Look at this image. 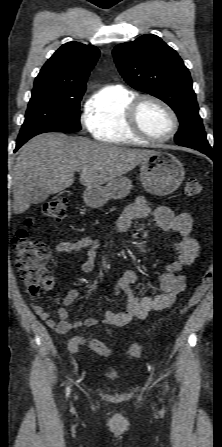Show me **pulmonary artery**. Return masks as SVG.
<instances>
[{
    "mask_svg": "<svg viewBox=\"0 0 222 447\" xmlns=\"http://www.w3.org/2000/svg\"><path fill=\"white\" fill-rule=\"evenodd\" d=\"M110 87H118V86H110Z\"/></svg>",
    "mask_w": 222,
    "mask_h": 447,
    "instance_id": "e3ab8cb5",
    "label": "pulmonary artery"
}]
</instances>
